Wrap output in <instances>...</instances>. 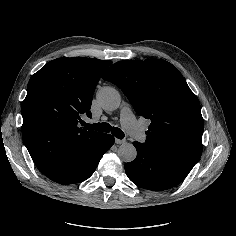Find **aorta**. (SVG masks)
<instances>
[{
	"label": "aorta",
	"instance_id": "obj_1",
	"mask_svg": "<svg viewBox=\"0 0 236 236\" xmlns=\"http://www.w3.org/2000/svg\"><path fill=\"white\" fill-rule=\"evenodd\" d=\"M97 100L106 111L116 110L121 103L120 94L113 87H103L97 93ZM117 154L121 161L131 162L136 158L137 150L132 144L125 142L120 145Z\"/></svg>",
	"mask_w": 236,
	"mask_h": 236
}]
</instances>
